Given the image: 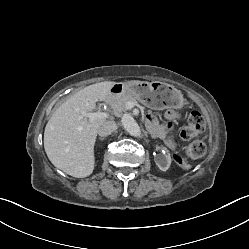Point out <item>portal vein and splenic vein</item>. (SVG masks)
Wrapping results in <instances>:
<instances>
[{
	"instance_id": "portal-vein-and-splenic-vein-1",
	"label": "portal vein and splenic vein",
	"mask_w": 249,
	"mask_h": 249,
	"mask_svg": "<svg viewBox=\"0 0 249 249\" xmlns=\"http://www.w3.org/2000/svg\"><path fill=\"white\" fill-rule=\"evenodd\" d=\"M132 107H133V104H131V103L127 104V109H131ZM82 115L84 117L89 118L90 121H94V120H97V119H106L109 116L108 113L101 112V111H97V112H94V113H92V112H88V113L83 112Z\"/></svg>"
}]
</instances>
